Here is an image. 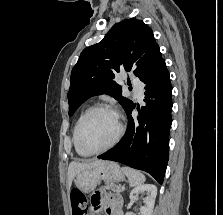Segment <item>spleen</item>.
Segmentation results:
<instances>
[{
    "label": "spleen",
    "mask_w": 223,
    "mask_h": 215,
    "mask_svg": "<svg viewBox=\"0 0 223 215\" xmlns=\"http://www.w3.org/2000/svg\"><path fill=\"white\" fill-rule=\"evenodd\" d=\"M122 171H124L125 175H127L129 179V185L134 187V185H140L145 181V175L141 173V171H137V169H131V167H122Z\"/></svg>",
    "instance_id": "3e777b00"
}]
</instances>
